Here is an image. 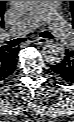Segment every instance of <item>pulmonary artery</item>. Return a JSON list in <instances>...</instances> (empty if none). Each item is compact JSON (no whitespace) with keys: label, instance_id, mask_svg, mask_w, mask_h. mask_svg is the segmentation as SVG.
Wrapping results in <instances>:
<instances>
[{"label":"pulmonary artery","instance_id":"e3ab8cb5","mask_svg":"<svg viewBox=\"0 0 74 122\" xmlns=\"http://www.w3.org/2000/svg\"><path fill=\"white\" fill-rule=\"evenodd\" d=\"M58 1H38L36 7L26 15L11 33H27L44 22H48L63 45H71L74 37L58 12Z\"/></svg>","mask_w":74,"mask_h":122}]
</instances>
